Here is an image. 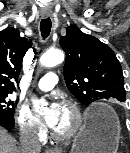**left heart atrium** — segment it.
I'll use <instances>...</instances> for the list:
<instances>
[{
  "instance_id": "left-heart-atrium-1",
  "label": "left heart atrium",
  "mask_w": 130,
  "mask_h": 153,
  "mask_svg": "<svg viewBox=\"0 0 130 153\" xmlns=\"http://www.w3.org/2000/svg\"><path fill=\"white\" fill-rule=\"evenodd\" d=\"M61 106L62 105L56 101L51 102V104L49 105V109L45 117V120L49 126L52 127L55 124L60 113Z\"/></svg>"
}]
</instances>
